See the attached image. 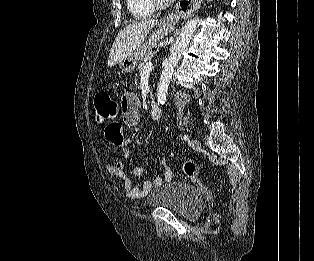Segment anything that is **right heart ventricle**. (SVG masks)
Listing matches in <instances>:
<instances>
[{
    "label": "right heart ventricle",
    "instance_id": "right-heart-ventricle-1",
    "mask_svg": "<svg viewBox=\"0 0 314 261\" xmlns=\"http://www.w3.org/2000/svg\"><path fill=\"white\" fill-rule=\"evenodd\" d=\"M127 8L134 18H148L154 15L151 0H126Z\"/></svg>",
    "mask_w": 314,
    "mask_h": 261
}]
</instances>
